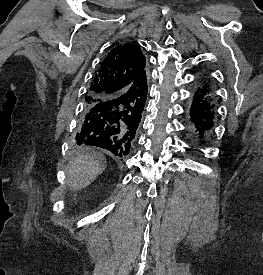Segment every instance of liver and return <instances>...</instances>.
<instances>
[{
  "label": "liver",
  "instance_id": "6515ba94",
  "mask_svg": "<svg viewBox=\"0 0 263 275\" xmlns=\"http://www.w3.org/2000/svg\"><path fill=\"white\" fill-rule=\"evenodd\" d=\"M104 169L105 164L94 156H80L67 167V184L73 191L86 188Z\"/></svg>",
  "mask_w": 263,
  "mask_h": 275
}]
</instances>
